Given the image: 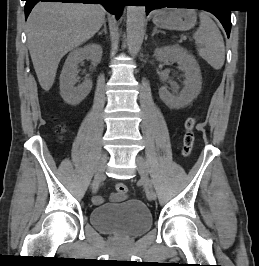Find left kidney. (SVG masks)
I'll return each instance as SVG.
<instances>
[{"instance_id":"left-kidney-1","label":"left kidney","mask_w":259,"mask_h":266,"mask_svg":"<svg viewBox=\"0 0 259 266\" xmlns=\"http://www.w3.org/2000/svg\"><path fill=\"white\" fill-rule=\"evenodd\" d=\"M154 55L158 61L177 62L185 72V86L181 92L174 95L167 90L166 86H162L159 89L160 99L173 109L189 105L199 95L202 85L201 70L194 56L180 45L157 48Z\"/></svg>"}]
</instances>
